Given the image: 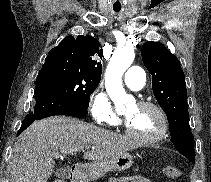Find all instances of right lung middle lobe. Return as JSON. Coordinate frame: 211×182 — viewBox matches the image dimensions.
Instances as JSON below:
<instances>
[{
	"instance_id": "obj_1",
	"label": "right lung middle lobe",
	"mask_w": 211,
	"mask_h": 182,
	"mask_svg": "<svg viewBox=\"0 0 211 182\" xmlns=\"http://www.w3.org/2000/svg\"><path fill=\"white\" fill-rule=\"evenodd\" d=\"M100 81H94L63 66L42 67L36 80V88H45L66 97L79 108L88 109L89 96Z\"/></svg>"
}]
</instances>
